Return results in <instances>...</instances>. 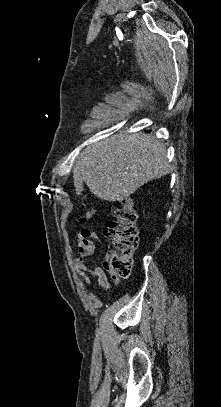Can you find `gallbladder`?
I'll return each instance as SVG.
<instances>
[{
  "label": "gallbladder",
  "mask_w": 221,
  "mask_h": 407,
  "mask_svg": "<svg viewBox=\"0 0 221 407\" xmlns=\"http://www.w3.org/2000/svg\"><path fill=\"white\" fill-rule=\"evenodd\" d=\"M74 185L76 187V191L77 192H81L83 189V182L82 181H78V182H74Z\"/></svg>",
  "instance_id": "1"
}]
</instances>
